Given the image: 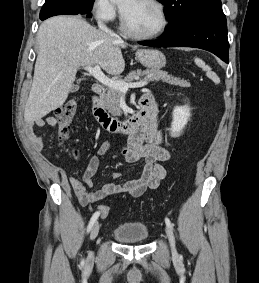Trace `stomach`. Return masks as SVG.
<instances>
[{"instance_id":"0dacf381","label":"stomach","mask_w":259,"mask_h":283,"mask_svg":"<svg viewBox=\"0 0 259 283\" xmlns=\"http://www.w3.org/2000/svg\"><path fill=\"white\" fill-rule=\"evenodd\" d=\"M136 58L149 69L159 70L166 64L165 55L157 49H139Z\"/></svg>"}]
</instances>
